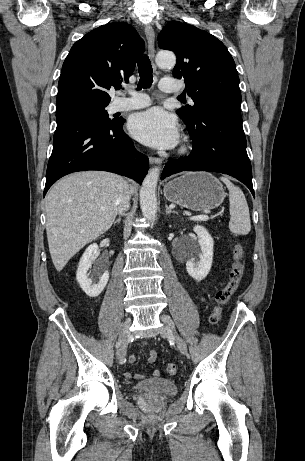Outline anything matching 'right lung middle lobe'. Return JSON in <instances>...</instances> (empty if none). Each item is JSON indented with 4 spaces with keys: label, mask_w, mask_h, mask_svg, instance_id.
I'll return each mask as SVG.
<instances>
[{
    "label": "right lung middle lobe",
    "mask_w": 305,
    "mask_h": 461,
    "mask_svg": "<svg viewBox=\"0 0 305 461\" xmlns=\"http://www.w3.org/2000/svg\"><path fill=\"white\" fill-rule=\"evenodd\" d=\"M108 103H85L57 108L56 117L62 115H76L85 117L94 122L110 123L106 107Z\"/></svg>",
    "instance_id": "right-lung-middle-lobe-1"
}]
</instances>
